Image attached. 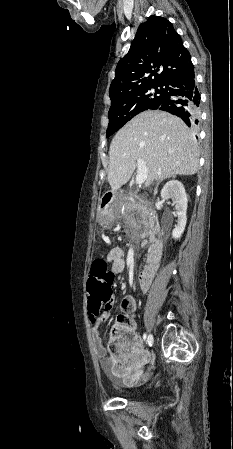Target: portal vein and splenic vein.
I'll return each instance as SVG.
<instances>
[{
  "instance_id": "18ae733b",
  "label": "portal vein and splenic vein",
  "mask_w": 233,
  "mask_h": 449,
  "mask_svg": "<svg viewBox=\"0 0 233 449\" xmlns=\"http://www.w3.org/2000/svg\"><path fill=\"white\" fill-rule=\"evenodd\" d=\"M137 168H138V171H137L135 181H136V184L141 185L142 183H144V181L147 178L148 168H147L145 162L141 159L137 160Z\"/></svg>"
}]
</instances>
